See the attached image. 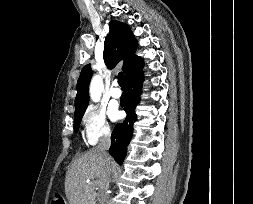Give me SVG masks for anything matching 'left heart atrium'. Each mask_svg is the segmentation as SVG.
I'll list each match as a JSON object with an SVG mask.
<instances>
[{
	"mask_svg": "<svg viewBox=\"0 0 253 204\" xmlns=\"http://www.w3.org/2000/svg\"><path fill=\"white\" fill-rule=\"evenodd\" d=\"M110 115H111L112 119L116 120L120 117V112L118 111L117 108L113 107L110 110Z\"/></svg>",
	"mask_w": 253,
	"mask_h": 204,
	"instance_id": "left-heart-atrium-1",
	"label": "left heart atrium"
}]
</instances>
